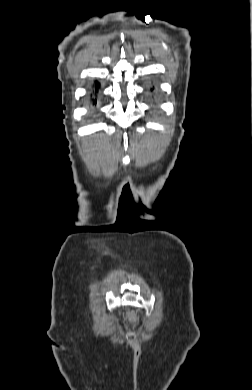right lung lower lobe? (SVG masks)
Instances as JSON below:
<instances>
[{
	"mask_svg": "<svg viewBox=\"0 0 252 390\" xmlns=\"http://www.w3.org/2000/svg\"><path fill=\"white\" fill-rule=\"evenodd\" d=\"M99 83L96 81L93 89V93L90 95V102L93 106L97 104V90L99 89Z\"/></svg>",
	"mask_w": 252,
	"mask_h": 390,
	"instance_id": "1",
	"label": "right lung lower lobe"
}]
</instances>
